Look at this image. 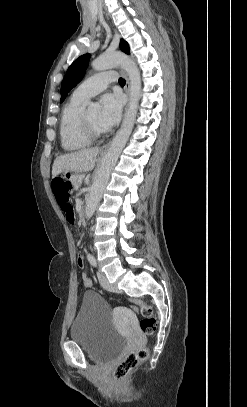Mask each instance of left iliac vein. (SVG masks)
I'll return each instance as SVG.
<instances>
[{
	"label": "left iliac vein",
	"mask_w": 247,
	"mask_h": 407,
	"mask_svg": "<svg viewBox=\"0 0 247 407\" xmlns=\"http://www.w3.org/2000/svg\"><path fill=\"white\" fill-rule=\"evenodd\" d=\"M97 276H98V279H99V282H100L101 286H102L105 290L111 291V292L116 291V288H115L112 284L109 283L107 277H106L103 273H101L100 271H98V272H97Z\"/></svg>",
	"instance_id": "4c4485c4"
}]
</instances>
